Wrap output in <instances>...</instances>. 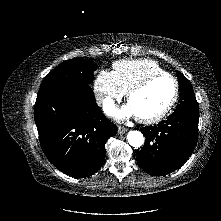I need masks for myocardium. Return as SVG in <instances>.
Masks as SVG:
<instances>
[{"instance_id":"myocardium-1","label":"myocardium","mask_w":221,"mask_h":221,"mask_svg":"<svg viewBox=\"0 0 221 221\" xmlns=\"http://www.w3.org/2000/svg\"><path fill=\"white\" fill-rule=\"evenodd\" d=\"M163 77L169 78L173 82V85H174L173 96H172L171 100L169 101V103L165 106V108L162 111H160L159 113H157L153 116H150V117L136 116L137 120L143 124L157 123L160 120H162L171 111V109L173 108V106L177 102V99L179 96V84H178L177 79L173 75H171L167 72L153 74V75H150L147 78L143 79L138 84L134 85L126 93V99H127V102L129 103V100L131 99V97L133 95H135L136 93L145 89L154 80L159 79V78H163Z\"/></svg>"}]
</instances>
